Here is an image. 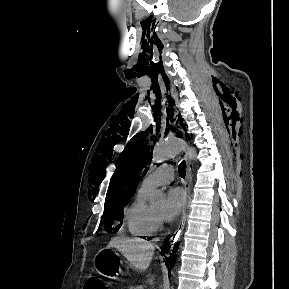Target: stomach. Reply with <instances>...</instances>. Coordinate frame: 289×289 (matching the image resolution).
I'll return each instance as SVG.
<instances>
[{
    "instance_id": "obj_1",
    "label": "stomach",
    "mask_w": 289,
    "mask_h": 289,
    "mask_svg": "<svg viewBox=\"0 0 289 289\" xmlns=\"http://www.w3.org/2000/svg\"><path fill=\"white\" fill-rule=\"evenodd\" d=\"M119 254L114 249H101L95 256L97 273L108 278H116L120 273Z\"/></svg>"
}]
</instances>
